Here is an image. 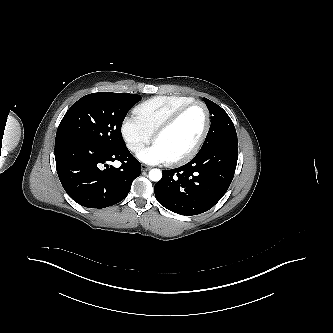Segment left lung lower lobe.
<instances>
[{"label": "left lung lower lobe", "mask_w": 333, "mask_h": 333, "mask_svg": "<svg viewBox=\"0 0 333 333\" xmlns=\"http://www.w3.org/2000/svg\"><path fill=\"white\" fill-rule=\"evenodd\" d=\"M237 159V144L215 145L199 151L184 166L162 171L163 177L154 187L157 201L186 216L208 211L228 190Z\"/></svg>", "instance_id": "left-lung-lower-lobe-1"}]
</instances>
